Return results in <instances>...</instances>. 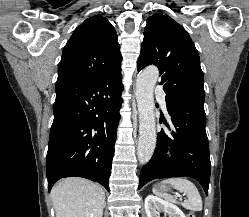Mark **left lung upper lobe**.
Listing matches in <instances>:
<instances>
[{
    "mask_svg": "<svg viewBox=\"0 0 249 217\" xmlns=\"http://www.w3.org/2000/svg\"><path fill=\"white\" fill-rule=\"evenodd\" d=\"M158 67L165 99H190L204 104L203 72L197 49L187 31L167 14L147 19L138 71Z\"/></svg>",
    "mask_w": 249,
    "mask_h": 217,
    "instance_id": "obj_1",
    "label": "left lung upper lobe"
}]
</instances>
